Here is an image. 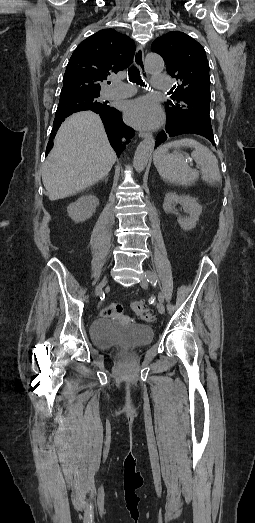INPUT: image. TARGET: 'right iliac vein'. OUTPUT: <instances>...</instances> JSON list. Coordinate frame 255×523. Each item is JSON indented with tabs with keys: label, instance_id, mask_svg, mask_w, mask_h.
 <instances>
[{
	"label": "right iliac vein",
	"instance_id": "right-iliac-vein-1",
	"mask_svg": "<svg viewBox=\"0 0 255 523\" xmlns=\"http://www.w3.org/2000/svg\"><path fill=\"white\" fill-rule=\"evenodd\" d=\"M106 283H107V280L105 279L97 286L96 294L101 293V291H102L103 287L106 285Z\"/></svg>",
	"mask_w": 255,
	"mask_h": 523
}]
</instances>
